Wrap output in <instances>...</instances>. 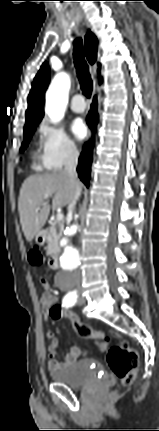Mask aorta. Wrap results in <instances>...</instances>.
Here are the masks:
<instances>
[{
    "instance_id": "762f6f07",
    "label": "aorta",
    "mask_w": 159,
    "mask_h": 431,
    "mask_svg": "<svg viewBox=\"0 0 159 431\" xmlns=\"http://www.w3.org/2000/svg\"><path fill=\"white\" fill-rule=\"evenodd\" d=\"M70 89V77L68 74L58 73L46 93L45 111L53 122L60 121L68 103V92ZM79 232L77 225L68 226L62 237L63 252L60 257V264L66 271L76 270L81 263L79 250L71 244V239Z\"/></svg>"
}]
</instances>
